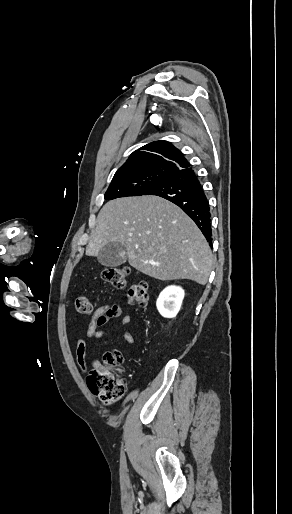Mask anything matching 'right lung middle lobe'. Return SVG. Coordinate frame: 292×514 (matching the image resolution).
I'll list each match as a JSON object with an SVG mask.
<instances>
[{
  "label": "right lung middle lobe",
  "instance_id": "right-lung-middle-lobe-1",
  "mask_svg": "<svg viewBox=\"0 0 292 514\" xmlns=\"http://www.w3.org/2000/svg\"><path fill=\"white\" fill-rule=\"evenodd\" d=\"M169 176L170 174L165 172L114 175L104 197L109 200L119 197L141 196Z\"/></svg>",
  "mask_w": 292,
  "mask_h": 514
}]
</instances>
